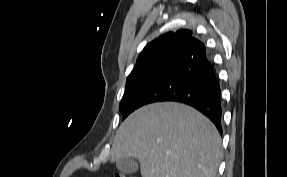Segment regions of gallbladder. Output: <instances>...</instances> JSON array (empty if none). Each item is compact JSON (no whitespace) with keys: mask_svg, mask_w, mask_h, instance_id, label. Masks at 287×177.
<instances>
[{"mask_svg":"<svg viewBox=\"0 0 287 177\" xmlns=\"http://www.w3.org/2000/svg\"><path fill=\"white\" fill-rule=\"evenodd\" d=\"M118 170L125 174H134L138 171V163L133 157H124L116 161Z\"/></svg>","mask_w":287,"mask_h":177,"instance_id":"gallbladder-1","label":"gallbladder"}]
</instances>
